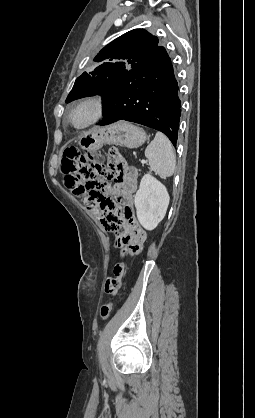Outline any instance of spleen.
<instances>
[{
  "mask_svg": "<svg viewBox=\"0 0 255 418\" xmlns=\"http://www.w3.org/2000/svg\"><path fill=\"white\" fill-rule=\"evenodd\" d=\"M145 156L149 161L150 170L161 178L173 175L176 157L169 139L161 132H157L153 141L145 149Z\"/></svg>",
  "mask_w": 255,
  "mask_h": 418,
  "instance_id": "obj_1",
  "label": "spleen"
}]
</instances>
